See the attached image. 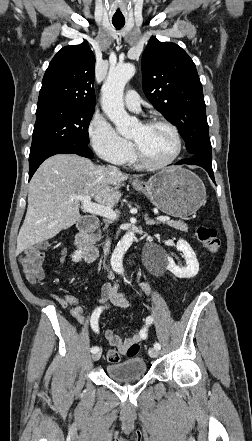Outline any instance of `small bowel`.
<instances>
[{
  "label": "small bowel",
  "instance_id": "obj_1",
  "mask_svg": "<svg viewBox=\"0 0 252 441\" xmlns=\"http://www.w3.org/2000/svg\"><path fill=\"white\" fill-rule=\"evenodd\" d=\"M118 288L119 283H105L102 286L100 296L97 299L98 303L100 304L99 307H101L102 310L110 305H115L122 308L129 306L128 299L119 291ZM141 288L147 295H149L150 286L148 283L142 282ZM54 299L60 306L70 308L71 316L75 321L81 325H87L84 309L80 305V300L76 296L66 294L64 296H54ZM104 337L107 343L114 347L120 354H126L128 349L133 344L138 343L141 340L138 334H134L130 337L122 339L111 329L105 331Z\"/></svg>",
  "mask_w": 252,
  "mask_h": 441
}]
</instances>
